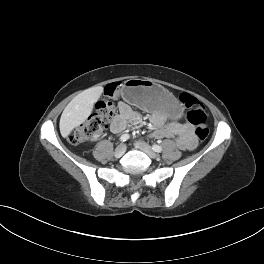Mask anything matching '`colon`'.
<instances>
[{
    "label": "colon",
    "mask_w": 264,
    "mask_h": 264,
    "mask_svg": "<svg viewBox=\"0 0 264 264\" xmlns=\"http://www.w3.org/2000/svg\"><path fill=\"white\" fill-rule=\"evenodd\" d=\"M118 90V84L113 83L107 86L105 99L97 102L95 112L86 121L75 128L69 135V141L72 144H80L90 138L91 136L99 133L109 122L115 113V105L111 101ZM181 102L187 108L188 121L194 126L196 137L203 141L209 134L207 113L204 105L194 96L184 93L180 97Z\"/></svg>",
    "instance_id": "colon-1"
}]
</instances>
